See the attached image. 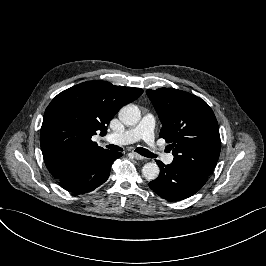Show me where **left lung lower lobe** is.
<instances>
[{"instance_id": "left-lung-lower-lobe-1", "label": "left lung lower lobe", "mask_w": 266, "mask_h": 266, "mask_svg": "<svg viewBox=\"0 0 266 266\" xmlns=\"http://www.w3.org/2000/svg\"><path fill=\"white\" fill-rule=\"evenodd\" d=\"M156 162L160 167V176L148 185L168 201H180L194 195L207 181L208 175L190 166L175 162L165 165L159 160Z\"/></svg>"}]
</instances>
